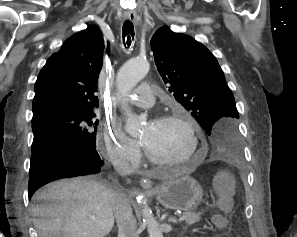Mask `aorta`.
Listing matches in <instances>:
<instances>
[{
	"instance_id": "1",
	"label": "aorta",
	"mask_w": 297,
	"mask_h": 237,
	"mask_svg": "<svg viewBox=\"0 0 297 237\" xmlns=\"http://www.w3.org/2000/svg\"><path fill=\"white\" fill-rule=\"evenodd\" d=\"M149 63L145 59L133 58L128 60L117 73V87L122 99V109L127 116L125 130L131 135L136 136L140 132L141 124L145 118L134 115L128 104L126 97L133 88L147 75ZM143 222L147 225L149 237H163L158 222L154 218L151 210L144 207L142 210Z\"/></svg>"
}]
</instances>
